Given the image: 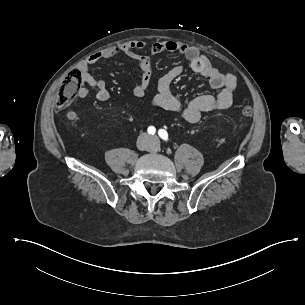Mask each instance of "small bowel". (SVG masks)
Instances as JSON below:
<instances>
[{"instance_id": "1", "label": "small bowel", "mask_w": 305, "mask_h": 305, "mask_svg": "<svg viewBox=\"0 0 305 305\" xmlns=\"http://www.w3.org/2000/svg\"><path fill=\"white\" fill-rule=\"evenodd\" d=\"M145 48V41L131 40L121 45L91 54L81 62L78 69L82 82L95 90L96 98L99 101H108L110 99V93L106 83L103 80L96 79L91 74L90 67L102 59L124 55L136 62L141 73L140 80L133 89V94L140 95L141 97L145 96L152 78L150 58L138 53V51ZM162 52H175L182 55L196 73L207 78L210 86L214 89H219L220 92L216 96H197L187 105L183 106L182 102L171 91L173 82L184 72L182 65H175L159 78L156 85V94L151 99V105L153 107L174 113H181L182 118L186 122L194 124L201 119L204 113L225 110L231 106L237 85L236 78L233 74L221 72L196 47L186 45L182 42L171 40L157 41L149 47V53L151 55ZM87 86H81L78 89V97L85 98L89 95V88ZM66 117L70 121H76L78 119V115L74 110L67 111Z\"/></svg>"}]
</instances>
